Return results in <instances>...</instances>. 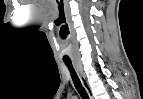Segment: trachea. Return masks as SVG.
<instances>
[{"label":"trachea","instance_id":"trachea-1","mask_svg":"<svg viewBox=\"0 0 143 99\" xmlns=\"http://www.w3.org/2000/svg\"><path fill=\"white\" fill-rule=\"evenodd\" d=\"M64 63L66 64V66L68 67V69L70 70L71 73V77L73 79L74 85L78 91V93L80 94V96L82 97V99H89L88 94L86 92V90L84 89V87L82 86L73 66L70 60H64Z\"/></svg>","mask_w":143,"mask_h":99}]
</instances>
